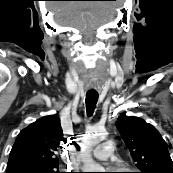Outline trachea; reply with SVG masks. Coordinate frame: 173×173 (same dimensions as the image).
Instances as JSON below:
<instances>
[{"instance_id": "trachea-1", "label": "trachea", "mask_w": 173, "mask_h": 173, "mask_svg": "<svg viewBox=\"0 0 173 173\" xmlns=\"http://www.w3.org/2000/svg\"><path fill=\"white\" fill-rule=\"evenodd\" d=\"M97 101H98L97 93H87L86 94L85 103H86L87 116H89V117L92 116V114L94 113Z\"/></svg>"}]
</instances>
